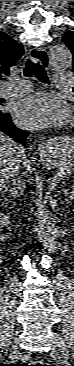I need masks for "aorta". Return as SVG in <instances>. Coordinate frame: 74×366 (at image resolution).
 Here are the masks:
<instances>
[{
    "instance_id": "762f6f07",
    "label": "aorta",
    "mask_w": 74,
    "mask_h": 366,
    "mask_svg": "<svg viewBox=\"0 0 74 366\" xmlns=\"http://www.w3.org/2000/svg\"><path fill=\"white\" fill-rule=\"evenodd\" d=\"M50 67L57 71L68 69L72 65V53L64 44H54L49 48ZM37 235L40 243L49 250L56 247L55 216L43 208L38 214Z\"/></svg>"
}]
</instances>
